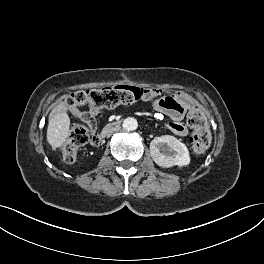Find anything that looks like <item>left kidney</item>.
Here are the masks:
<instances>
[{
    "instance_id": "5707ae66",
    "label": "left kidney",
    "mask_w": 264,
    "mask_h": 264,
    "mask_svg": "<svg viewBox=\"0 0 264 264\" xmlns=\"http://www.w3.org/2000/svg\"><path fill=\"white\" fill-rule=\"evenodd\" d=\"M150 154L154 162L161 167H181L190 163L186 145L170 135L155 137L150 143Z\"/></svg>"
}]
</instances>
